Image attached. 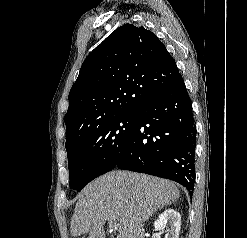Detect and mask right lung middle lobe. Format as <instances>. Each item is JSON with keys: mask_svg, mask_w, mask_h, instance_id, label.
Here are the masks:
<instances>
[{"mask_svg": "<svg viewBox=\"0 0 247 238\" xmlns=\"http://www.w3.org/2000/svg\"><path fill=\"white\" fill-rule=\"evenodd\" d=\"M137 122V113L124 114L99 123L65 146L70 187L80 191L94 178L111 171Z\"/></svg>", "mask_w": 247, "mask_h": 238, "instance_id": "dd1d6c3e", "label": "right lung middle lobe"}]
</instances>
